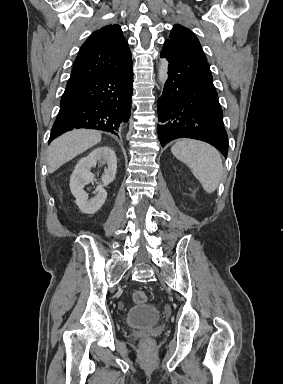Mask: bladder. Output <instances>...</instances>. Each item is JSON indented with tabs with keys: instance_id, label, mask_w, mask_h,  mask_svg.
I'll return each mask as SVG.
<instances>
[{
	"instance_id": "1",
	"label": "bladder",
	"mask_w": 283,
	"mask_h": 384,
	"mask_svg": "<svg viewBox=\"0 0 283 384\" xmlns=\"http://www.w3.org/2000/svg\"><path fill=\"white\" fill-rule=\"evenodd\" d=\"M160 321V313L152 303L132 304L124 317L127 326L147 328Z\"/></svg>"
}]
</instances>
